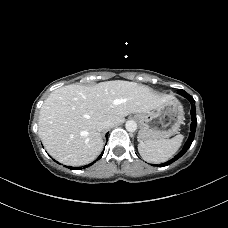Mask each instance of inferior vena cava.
<instances>
[{"label": "inferior vena cava", "mask_w": 228, "mask_h": 228, "mask_svg": "<svg viewBox=\"0 0 228 228\" xmlns=\"http://www.w3.org/2000/svg\"><path fill=\"white\" fill-rule=\"evenodd\" d=\"M110 127H111V126H110V123H109V122H107V121H105V122H100V123H98V125H97V130H98L99 132H101V131L106 130V129L110 128Z\"/></svg>", "instance_id": "inferior-vena-cava-1"}]
</instances>
